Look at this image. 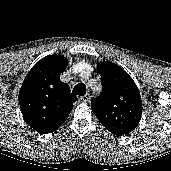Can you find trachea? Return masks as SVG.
I'll return each mask as SVG.
<instances>
[{"label":"trachea","instance_id":"trachea-1","mask_svg":"<svg viewBox=\"0 0 171 171\" xmlns=\"http://www.w3.org/2000/svg\"><path fill=\"white\" fill-rule=\"evenodd\" d=\"M72 92L76 95L84 96L86 94V87L83 83L74 86Z\"/></svg>","mask_w":171,"mask_h":171}]
</instances>
